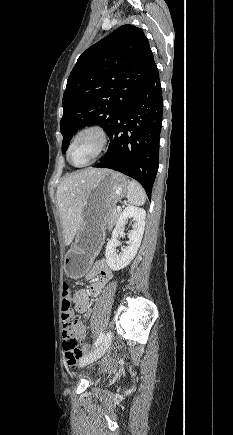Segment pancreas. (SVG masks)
<instances>
[{"label":"pancreas","instance_id":"1","mask_svg":"<svg viewBox=\"0 0 233 435\" xmlns=\"http://www.w3.org/2000/svg\"><path fill=\"white\" fill-rule=\"evenodd\" d=\"M119 215H120V211H118V210H116V209H114V210L111 212L110 217H109V223H108L109 227H110L113 223L116 222V220H117V218L119 217Z\"/></svg>","mask_w":233,"mask_h":435}]
</instances>
